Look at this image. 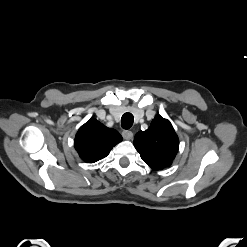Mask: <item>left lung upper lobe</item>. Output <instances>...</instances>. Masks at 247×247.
Returning a JSON list of instances; mask_svg holds the SVG:
<instances>
[{
	"label": "left lung upper lobe",
	"instance_id": "obj_1",
	"mask_svg": "<svg viewBox=\"0 0 247 247\" xmlns=\"http://www.w3.org/2000/svg\"><path fill=\"white\" fill-rule=\"evenodd\" d=\"M134 146L144 162L154 170L169 167L174 160L179 140L171 123L157 115L146 131L135 135Z\"/></svg>",
	"mask_w": 247,
	"mask_h": 247
}]
</instances>
